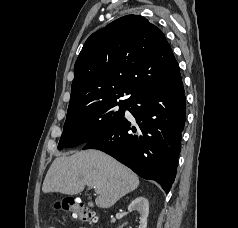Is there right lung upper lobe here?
Masks as SVG:
<instances>
[{
	"label": "right lung upper lobe",
	"instance_id": "cb5924a9",
	"mask_svg": "<svg viewBox=\"0 0 238 228\" xmlns=\"http://www.w3.org/2000/svg\"><path fill=\"white\" fill-rule=\"evenodd\" d=\"M163 32L138 15L121 17L86 40L74 66L68 112L126 100L180 78Z\"/></svg>",
	"mask_w": 238,
	"mask_h": 228
}]
</instances>
